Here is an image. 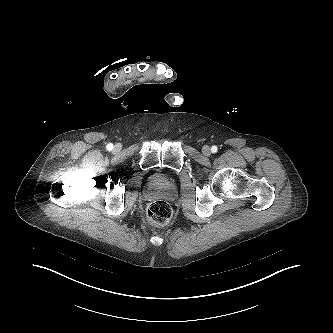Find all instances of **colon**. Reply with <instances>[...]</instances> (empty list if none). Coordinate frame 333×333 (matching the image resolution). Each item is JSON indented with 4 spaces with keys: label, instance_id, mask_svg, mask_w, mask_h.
Returning a JSON list of instances; mask_svg holds the SVG:
<instances>
[{
    "label": "colon",
    "instance_id": "colon-1",
    "mask_svg": "<svg viewBox=\"0 0 333 333\" xmlns=\"http://www.w3.org/2000/svg\"><path fill=\"white\" fill-rule=\"evenodd\" d=\"M173 211L170 204L164 200H155L151 202L146 210L149 222L155 226H164L169 223Z\"/></svg>",
    "mask_w": 333,
    "mask_h": 333
}]
</instances>
